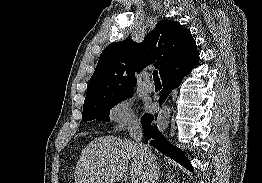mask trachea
I'll use <instances>...</instances> for the list:
<instances>
[{
  "instance_id": "trachea-1",
  "label": "trachea",
  "mask_w": 262,
  "mask_h": 183,
  "mask_svg": "<svg viewBox=\"0 0 262 183\" xmlns=\"http://www.w3.org/2000/svg\"><path fill=\"white\" fill-rule=\"evenodd\" d=\"M153 79H154V82H160V79H159V76H158V71L155 70L153 72Z\"/></svg>"
}]
</instances>
